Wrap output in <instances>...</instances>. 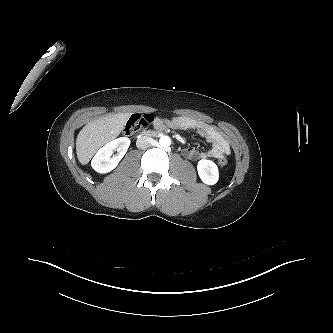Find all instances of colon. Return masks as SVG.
<instances>
[{
  "label": "colon",
  "mask_w": 333,
  "mask_h": 333,
  "mask_svg": "<svg viewBox=\"0 0 333 333\" xmlns=\"http://www.w3.org/2000/svg\"><path fill=\"white\" fill-rule=\"evenodd\" d=\"M153 122H154V117L151 114L133 115L128 120L123 132L125 135H131L135 133L138 129L147 127ZM218 164L221 167L227 166L228 164L227 158L225 156H221L218 159Z\"/></svg>",
  "instance_id": "5ec220e1"
}]
</instances>
